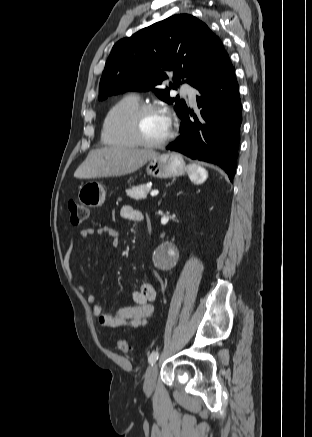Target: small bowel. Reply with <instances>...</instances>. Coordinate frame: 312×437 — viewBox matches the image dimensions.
<instances>
[{
    "label": "small bowel",
    "mask_w": 312,
    "mask_h": 437,
    "mask_svg": "<svg viewBox=\"0 0 312 437\" xmlns=\"http://www.w3.org/2000/svg\"><path fill=\"white\" fill-rule=\"evenodd\" d=\"M120 213L124 219L130 221L140 222L143 220L142 213L130 205L122 206ZM94 234L109 236L115 247L120 244V235L111 226H101L97 230L91 228L83 229L79 233V237L83 239ZM78 289L82 291L84 289L83 285H79ZM133 299L135 306L119 307L115 314H112L105 311L99 303L98 292L93 291L88 295V301L93 305V314L104 327L146 326L148 321L155 315L154 302L156 300V291L151 284L143 282L134 291Z\"/></svg>",
    "instance_id": "small-bowel-1"
}]
</instances>
